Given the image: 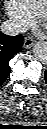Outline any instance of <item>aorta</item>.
Segmentation results:
<instances>
[{
  "mask_svg": "<svg viewBox=\"0 0 47 129\" xmlns=\"http://www.w3.org/2000/svg\"><path fill=\"white\" fill-rule=\"evenodd\" d=\"M34 57L41 63L47 62V43L45 41L37 42L33 47Z\"/></svg>",
  "mask_w": 47,
  "mask_h": 129,
  "instance_id": "762f6f07",
  "label": "aorta"
}]
</instances>
